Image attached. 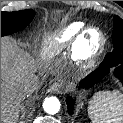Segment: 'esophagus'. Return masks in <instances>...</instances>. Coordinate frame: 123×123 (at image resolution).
Masks as SVG:
<instances>
[{
	"instance_id": "1",
	"label": "esophagus",
	"mask_w": 123,
	"mask_h": 123,
	"mask_svg": "<svg viewBox=\"0 0 123 123\" xmlns=\"http://www.w3.org/2000/svg\"><path fill=\"white\" fill-rule=\"evenodd\" d=\"M48 92H50V93H61L62 92V83L61 82H55V83H53L48 88Z\"/></svg>"
}]
</instances>
